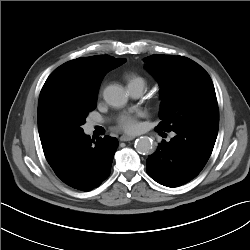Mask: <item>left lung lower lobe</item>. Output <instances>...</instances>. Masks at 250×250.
Instances as JSON below:
<instances>
[{"mask_svg": "<svg viewBox=\"0 0 250 250\" xmlns=\"http://www.w3.org/2000/svg\"><path fill=\"white\" fill-rule=\"evenodd\" d=\"M218 127L219 124H209L175 131V137L169 142L162 140L148 157V175L159 184L172 188L192 180L212 153Z\"/></svg>", "mask_w": 250, "mask_h": 250, "instance_id": "1", "label": "left lung lower lobe"}]
</instances>
